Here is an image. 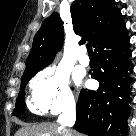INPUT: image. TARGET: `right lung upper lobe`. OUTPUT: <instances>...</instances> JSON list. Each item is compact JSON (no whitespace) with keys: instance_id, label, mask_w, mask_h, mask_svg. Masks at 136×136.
Segmentation results:
<instances>
[{"instance_id":"right-lung-upper-lobe-1","label":"right lung upper lobe","mask_w":136,"mask_h":136,"mask_svg":"<svg viewBox=\"0 0 136 136\" xmlns=\"http://www.w3.org/2000/svg\"><path fill=\"white\" fill-rule=\"evenodd\" d=\"M71 17L75 33L82 36L80 42L90 41L95 49L125 34L126 25L114 0H75ZM62 43L63 23L59 15L53 13L34 36L23 78L50 64Z\"/></svg>"}]
</instances>
